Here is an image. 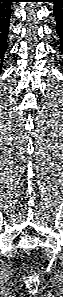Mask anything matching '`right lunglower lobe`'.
Segmentation results:
<instances>
[{
    "mask_svg": "<svg viewBox=\"0 0 63 297\" xmlns=\"http://www.w3.org/2000/svg\"><path fill=\"white\" fill-rule=\"evenodd\" d=\"M13 0H0V68L7 49V34L11 16V3Z\"/></svg>",
    "mask_w": 63,
    "mask_h": 297,
    "instance_id": "right-lung-lower-lobe-1",
    "label": "right lung lower lobe"
}]
</instances>
